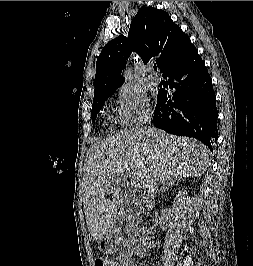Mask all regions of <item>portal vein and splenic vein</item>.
Wrapping results in <instances>:
<instances>
[{"instance_id":"obj_1","label":"portal vein and splenic vein","mask_w":253,"mask_h":266,"mask_svg":"<svg viewBox=\"0 0 253 266\" xmlns=\"http://www.w3.org/2000/svg\"><path fill=\"white\" fill-rule=\"evenodd\" d=\"M124 180H126V177H124ZM120 180H118L117 182H119ZM140 184L137 182V181H135V180H133L130 184H128V186L131 188V189H133V191H135L137 188H138V186H139Z\"/></svg>"}]
</instances>
